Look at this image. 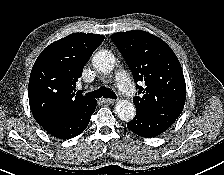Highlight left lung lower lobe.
<instances>
[{
    "label": "left lung lower lobe",
    "mask_w": 224,
    "mask_h": 175,
    "mask_svg": "<svg viewBox=\"0 0 224 175\" xmlns=\"http://www.w3.org/2000/svg\"><path fill=\"white\" fill-rule=\"evenodd\" d=\"M176 119L164 114H149L136 111L135 118L127 123V127L141 137L151 138L166 131Z\"/></svg>",
    "instance_id": "0a47b994"
}]
</instances>
